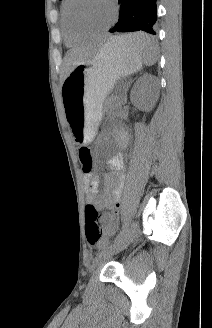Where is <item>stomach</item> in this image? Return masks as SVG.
I'll return each instance as SVG.
<instances>
[{
    "instance_id": "1",
    "label": "stomach",
    "mask_w": 212,
    "mask_h": 328,
    "mask_svg": "<svg viewBox=\"0 0 212 328\" xmlns=\"http://www.w3.org/2000/svg\"><path fill=\"white\" fill-rule=\"evenodd\" d=\"M144 55V51L124 48L113 37L92 59L77 65L64 79L62 95L67 123L76 143L93 139L106 97L119 79L142 67Z\"/></svg>"
}]
</instances>
